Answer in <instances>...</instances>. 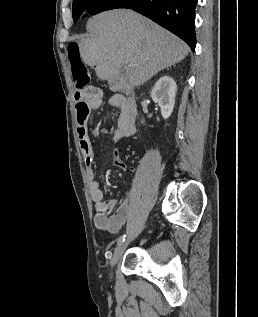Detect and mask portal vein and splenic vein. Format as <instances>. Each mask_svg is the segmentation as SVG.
<instances>
[{
    "label": "portal vein and splenic vein",
    "mask_w": 258,
    "mask_h": 317,
    "mask_svg": "<svg viewBox=\"0 0 258 317\" xmlns=\"http://www.w3.org/2000/svg\"><path fill=\"white\" fill-rule=\"evenodd\" d=\"M126 70H127L126 74H129V72H130V66H126Z\"/></svg>",
    "instance_id": "portal-vein-and-splenic-vein-1"
}]
</instances>
